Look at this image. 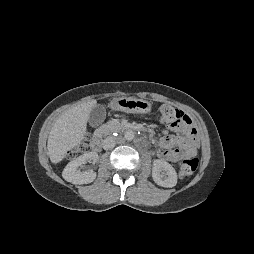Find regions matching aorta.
<instances>
[{
	"mask_svg": "<svg viewBox=\"0 0 254 254\" xmlns=\"http://www.w3.org/2000/svg\"><path fill=\"white\" fill-rule=\"evenodd\" d=\"M134 132L133 131H127L124 134V138L128 141L132 140L134 138Z\"/></svg>",
	"mask_w": 254,
	"mask_h": 254,
	"instance_id": "762f6f07",
	"label": "aorta"
}]
</instances>
